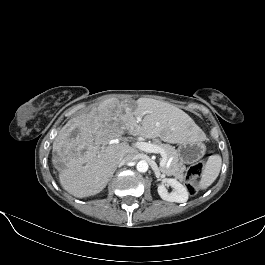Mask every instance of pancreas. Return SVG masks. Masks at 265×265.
I'll use <instances>...</instances> for the list:
<instances>
[{"instance_id":"obj_1","label":"pancreas","mask_w":265,"mask_h":265,"mask_svg":"<svg viewBox=\"0 0 265 265\" xmlns=\"http://www.w3.org/2000/svg\"><path fill=\"white\" fill-rule=\"evenodd\" d=\"M153 144L161 147L166 152L168 161L172 159L171 161H169L168 166H163V167L160 166L161 172L168 176H174L179 180H183L184 168L182 166V163L179 161L176 149L169 144H163L161 141L157 139L153 141Z\"/></svg>"}]
</instances>
